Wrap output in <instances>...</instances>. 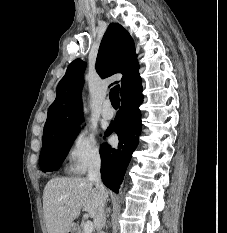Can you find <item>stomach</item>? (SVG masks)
I'll list each match as a JSON object with an SVG mask.
<instances>
[{
  "instance_id": "0dacf381",
  "label": "stomach",
  "mask_w": 227,
  "mask_h": 233,
  "mask_svg": "<svg viewBox=\"0 0 227 233\" xmlns=\"http://www.w3.org/2000/svg\"><path fill=\"white\" fill-rule=\"evenodd\" d=\"M67 233H78L77 226H76L75 224H72V225L69 227Z\"/></svg>"
}]
</instances>
